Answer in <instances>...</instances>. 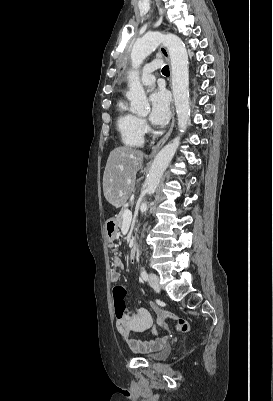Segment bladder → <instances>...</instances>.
<instances>
[{"label": "bladder", "mask_w": 273, "mask_h": 401, "mask_svg": "<svg viewBox=\"0 0 273 401\" xmlns=\"http://www.w3.org/2000/svg\"><path fill=\"white\" fill-rule=\"evenodd\" d=\"M172 352V349L170 346H164L161 349L151 353V354H147L144 357L147 360H151V361H160L163 359H166L168 356H170Z\"/></svg>", "instance_id": "obj_1"}]
</instances>
